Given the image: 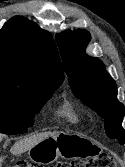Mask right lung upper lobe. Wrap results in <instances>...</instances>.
<instances>
[{
    "instance_id": "1",
    "label": "right lung upper lobe",
    "mask_w": 125,
    "mask_h": 167,
    "mask_svg": "<svg viewBox=\"0 0 125 167\" xmlns=\"http://www.w3.org/2000/svg\"><path fill=\"white\" fill-rule=\"evenodd\" d=\"M64 71L49 32L25 17L0 30V92L30 95L60 86Z\"/></svg>"
}]
</instances>
